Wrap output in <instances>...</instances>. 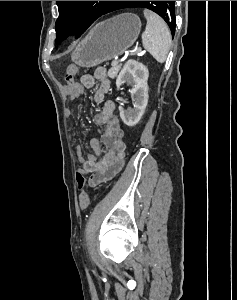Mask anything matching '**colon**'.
I'll use <instances>...</instances> for the list:
<instances>
[{
    "instance_id": "colon-1",
    "label": "colon",
    "mask_w": 237,
    "mask_h": 300,
    "mask_svg": "<svg viewBox=\"0 0 237 300\" xmlns=\"http://www.w3.org/2000/svg\"><path fill=\"white\" fill-rule=\"evenodd\" d=\"M78 68L75 65H71L67 69L66 79L69 85H71L74 88H79V83L74 79V75L77 73ZM76 181L78 184L79 189H82L86 182L85 174H83L81 171H78L76 173ZM87 195L82 192L80 194V200L85 201L87 200Z\"/></svg>"
}]
</instances>
